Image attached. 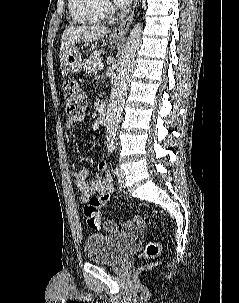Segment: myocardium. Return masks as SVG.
I'll list each match as a JSON object with an SVG mask.
<instances>
[{
  "label": "myocardium",
  "instance_id": "f54148a6",
  "mask_svg": "<svg viewBox=\"0 0 239 303\" xmlns=\"http://www.w3.org/2000/svg\"><path fill=\"white\" fill-rule=\"evenodd\" d=\"M103 1V3H106V0H102Z\"/></svg>",
  "mask_w": 239,
  "mask_h": 303
}]
</instances>
